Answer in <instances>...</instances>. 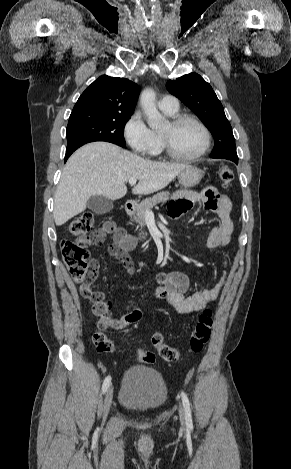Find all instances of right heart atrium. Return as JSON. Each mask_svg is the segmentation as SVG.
Returning a JSON list of instances; mask_svg holds the SVG:
<instances>
[{"instance_id":"d8ad5b80","label":"right heart atrium","mask_w":291,"mask_h":469,"mask_svg":"<svg viewBox=\"0 0 291 469\" xmlns=\"http://www.w3.org/2000/svg\"><path fill=\"white\" fill-rule=\"evenodd\" d=\"M123 137L131 150L148 155L155 145L154 132L147 126L140 112L133 113L123 127Z\"/></svg>"}]
</instances>
